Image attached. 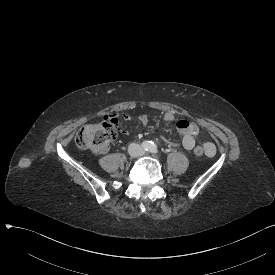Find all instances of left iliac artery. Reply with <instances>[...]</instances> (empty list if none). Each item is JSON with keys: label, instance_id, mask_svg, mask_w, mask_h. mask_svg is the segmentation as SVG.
Returning <instances> with one entry per match:
<instances>
[{"label": "left iliac artery", "instance_id": "1", "mask_svg": "<svg viewBox=\"0 0 275 275\" xmlns=\"http://www.w3.org/2000/svg\"><path fill=\"white\" fill-rule=\"evenodd\" d=\"M151 153H157V146L154 142H152L151 147L149 149Z\"/></svg>", "mask_w": 275, "mask_h": 275}]
</instances>
